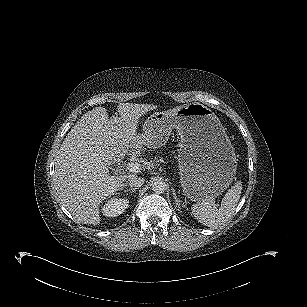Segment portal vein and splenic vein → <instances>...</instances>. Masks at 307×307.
Returning <instances> with one entry per match:
<instances>
[{"instance_id": "portal-vein-and-splenic-vein-1", "label": "portal vein and splenic vein", "mask_w": 307, "mask_h": 307, "mask_svg": "<svg viewBox=\"0 0 307 307\" xmlns=\"http://www.w3.org/2000/svg\"><path fill=\"white\" fill-rule=\"evenodd\" d=\"M127 170L132 173H138L140 171V164L131 162L127 165Z\"/></svg>"}]
</instances>
